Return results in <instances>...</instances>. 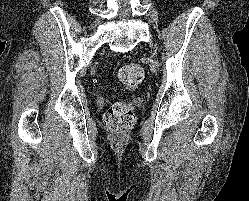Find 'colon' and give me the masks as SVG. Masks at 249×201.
Returning <instances> with one entry per match:
<instances>
[{
  "label": "colon",
  "mask_w": 249,
  "mask_h": 201,
  "mask_svg": "<svg viewBox=\"0 0 249 201\" xmlns=\"http://www.w3.org/2000/svg\"><path fill=\"white\" fill-rule=\"evenodd\" d=\"M144 72L137 64H127L117 72L118 81L126 88L133 89L143 80ZM135 121L133 107L123 101L114 103L104 115L105 127L114 134L129 131Z\"/></svg>",
  "instance_id": "obj_1"
}]
</instances>
